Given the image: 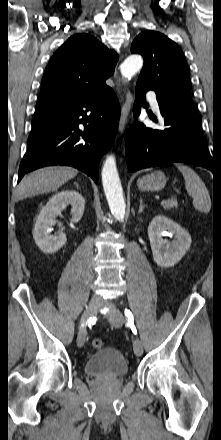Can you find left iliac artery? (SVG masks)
Masks as SVG:
<instances>
[{
    "label": "left iliac artery",
    "mask_w": 221,
    "mask_h": 440,
    "mask_svg": "<svg viewBox=\"0 0 221 440\" xmlns=\"http://www.w3.org/2000/svg\"><path fill=\"white\" fill-rule=\"evenodd\" d=\"M125 315H126V317H127V319H128V324L130 325V327H131L133 333L136 334V333H137V330H136V328H135V326H134V317H133V314L130 312V310L125 309Z\"/></svg>",
    "instance_id": "obj_1"
}]
</instances>
